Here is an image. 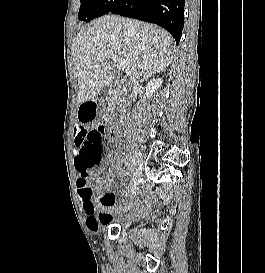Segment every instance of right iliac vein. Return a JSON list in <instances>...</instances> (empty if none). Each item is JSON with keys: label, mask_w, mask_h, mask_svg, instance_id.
<instances>
[{"label": "right iliac vein", "mask_w": 265, "mask_h": 273, "mask_svg": "<svg viewBox=\"0 0 265 273\" xmlns=\"http://www.w3.org/2000/svg\"><path fill=\"white\" fill-rule=\"evenodd\" d=\"M136 157H137L138 167L135 171L133 183L131 186L133 192L136 191L139 186L140 178H141V170H142V168H141V154L138 152Z\"/></svg>", "instance_id": "obj_1"}]
</instances>
